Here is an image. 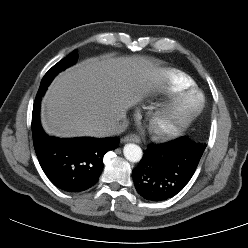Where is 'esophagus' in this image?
Returning a JSON list of instances; mask_svg holds the SVG:
<instances>
[{
    "instance_id": "esophagus-1",
    "label": "esophagus",
    "mask_w": 248,
    "mask_h": 248,
    "mask_svg": "<svg viewBox=\"0 0 248 248\" xmlns=\"http://www.w3.org/2000/svg\"><path fill=\"white\" fill-rule=\"evenodd\" d=\"M121 142H134V143H140V137L136 134H130L121 139Z\"/></svg>"
}]
</instances>
